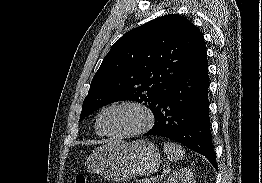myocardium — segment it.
<instances>
[{"label": "myocardium", "mask_w": 262, "mask_h": 183, "mask_svg": "<svg viewBox=\"0 0 262 183\" xmlns=\"http://www.w3.org/2000/svg\"><path fill=\"white\" fill-rule=\"evenodd\" d=\"M121 106H130V107H134V108L141 110L145 115L144 125L138 129H135L129 132H125V133H121V134H112V133L105 132L101 127V118L103 114L112 108L121 107ZM154 123H155L154 113L147 104L141 101H137V100H121V101L113 102L107 105L99 112L97 119H96V129L98 130V132L101 135L105 137H108L111 139H123V138L141 135V134L148 132L153 127Z\"/></svg>", "instance_id": "obj_1"}]
</instances>
